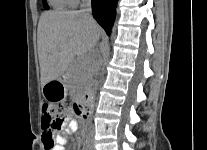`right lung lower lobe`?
Returning <instances> with one entry per match:
<instances>
[{
	"label": "right lung lower lobe",
	"mask_w": 207,
	"mask_h": 150,
	"mask_svg": "<svg viewBox=\"0 0 207 150\" xmlns=\"http://www.w3.org/2000/svg\"><path fill=\"white\" fill-rule=\"evenodd\" d=\"M117 0H92V11L96 21L109 35L114 22Z\"/></svg>",
	"instance_id": "1"
}]
</instances>
